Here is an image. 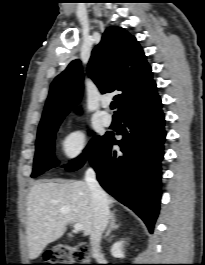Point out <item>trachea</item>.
<instances>
[{"label":"trachea","mask_w":205,"mask_h":265,"mask_svg":"<svg viewBox=\"0 0 205 265\" xmlns=\"http://www.w3.org/2000/svg\"><path fill=\"white\" fill-rule=\"evenodd\" d=\"M111 109H115L116 108V103L115 102H112L111 105H110Z\"/></svg>","instance_id":"trachea-1"}]
</instances>
